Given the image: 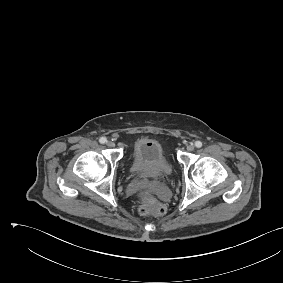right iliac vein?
I'll return each mask as SVG.
<instances>
[{
  "mask_svg": "<svg viewBox=\"0 0 283 283\" xmlns=\"http://www.w3.org/2000/svg\"><path fill=\"white\" fill-rule=\"evenodd\" d=\"M106 144H107L108 147H114L115 146V143L111 140L107 141Z\"/></svg>",
  "mask_w": 283,
  "mask_h": 283,
  "instance_id": "1",
  "label": "right iliac vein"
}]
</instances>
